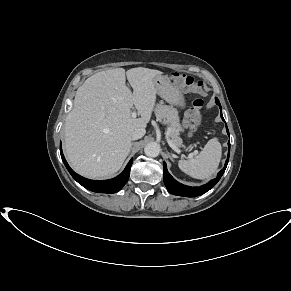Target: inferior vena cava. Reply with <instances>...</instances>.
I'll use <instances>...</instances> for the list:
<instances>
[{"mask_svg": "<svg viewBox=\"0 0 291 291\" xmlns=\"http://www.w3.org/2000/svg\"><path fill=\"white\" fill-rule=\"evenodd\" d=\"M144 135H145V129L137 128L132 132L131 139L137 140V139L142 138Z\"/></svg>", "mask_w": 291, "mask_h": 291, "instance_id": "602c4592", "label": "inferior vena cava"}]
</instances>
